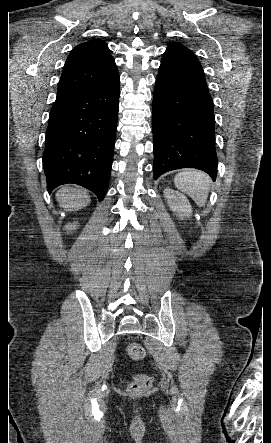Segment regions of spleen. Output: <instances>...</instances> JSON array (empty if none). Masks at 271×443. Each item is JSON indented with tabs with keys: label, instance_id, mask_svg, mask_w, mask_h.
<instances>
[{
	"label": "spleen",
	"instance_id": "1",
	"mask_svg": "<svg viewBox=\"0 0 271 443\" xmlns=\"http://www.w3.org/2000/svg\"><path fill=\"white\" fill-rule=\"evenodd\" d=\"M174 182L176 188L180 192L188 194L197 206H201V208L206 206L210 186V178L207 174L198 172V170H183V172L176 174Z\"/></svg>",
	"mask_w": 271,
	"mask_h": 443
}]
</instances>
